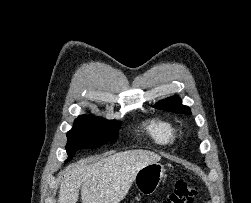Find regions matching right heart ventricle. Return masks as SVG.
<instances>
[{
  "mask_svg": "<svg viewBox=\"0 0 251 203\" xmlns=\"http://www.w3.org/2000/svg\"><path fill=\"white\" fill-rule=\"evenodd\" d=\"M149 136L158 144H170L177 137V128L173 123L162 118H153L144 123Z\"/></svg>",
  "mask_w": 251,
  "mask_h": 203,
  "instance_id": "1",
  "label": "right heart ventricle"
}]
</instances>
